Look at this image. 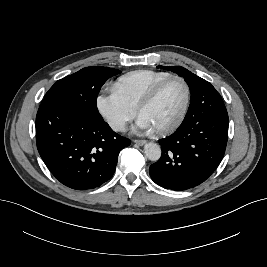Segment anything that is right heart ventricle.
Listing matches in <instances>:
<instances>
[{
	"label": "right heart ventricle",
	"instance_id": "right-heart-ventricle-1",
	"mask_svg": "<svg viewBox=\"0 0 267 267\" xmlns=\"http://www.w3.org/2000/svg\"><path fill=\"white\" fill-rule=\"evenodd\" d=\"M170 75L163 71H132L119 77L113 85V90L136 109L149 90Z\"/></svg>",
	"mask_w": 267,
	"mask_h": 267
}]
</instances>
